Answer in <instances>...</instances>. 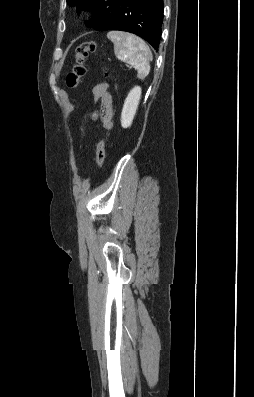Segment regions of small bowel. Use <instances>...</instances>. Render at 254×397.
I'll return each mask as SVG.
<instances>
[{
	"instance_id": "1",
	"label": "small bowel",
	"mask_w": 254,
	"mask_h": 397,
	"mask_svg": "<svg viewBox=\"0 0 254 397\" xmlns=\"http://www.w3.org/2000/svg\"><path fill=\"white\" fill-rule=\"evenodd\" d=\"M93 97L95 101L100 102V111L93 112L89 115L91 120H101L107 129L112 127L113 105L112 96L108 92V85L100 83L93 88Z\"/></svg>"
}]
</instances>
